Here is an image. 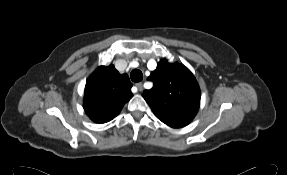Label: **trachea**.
Instances as JSON below:
<instances>
[{"instance_id": "1", "label": "trachea", "mask_w": 287, "mask_h": 175, "mask_svg": "<svg viewBox=\"0 0 287 175\" xmlns=\"http://www.w3.org/2000/svg\"><path fill=\"white\" fill-rule=\"evenodd\" d=\"M130 77L133 82H140L143 79V74L140 70L134 69L132 70Z\"/></svg>"}]
</instances>
